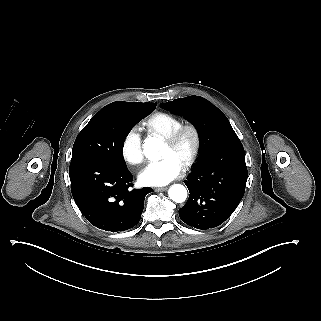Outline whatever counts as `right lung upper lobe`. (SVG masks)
<instances>
[{
    "label": "right lung upper lobe",
    "mask_w": 321,
    "mask_h": 321,
    "mask_svg": "<svg viewBox=\"0 0 321 321\" xmlns=\"http://www.w3.org/2000/svg\"><path fill=\"white\" fill-rule=\"evenodd\" d=\"M118 104L123 105L127 111L129 112H135L138 109L145 107V106H154L156 107V103H141V102H115Z\"/></svg>",
    "instance_id": "obj_1"
}]
</instances>
